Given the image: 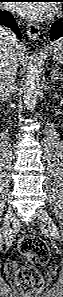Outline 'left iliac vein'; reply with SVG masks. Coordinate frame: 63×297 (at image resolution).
<instances>
[{
  "label": "left iliac vein",
  "instance_id": "1",
  "mask_svg": "<svg viewBox=\"0 0 63 297\" xmlns=\"http://www.w3.org/2000/svg\"><path fill=\"white\" fill-rule=\"evenodd\" d=\"M37 217L39 220L44 222L50 235L54 239H58L59 238L58 229H57L54 221L52 220L51 216L49 215V213L44 208H38Z\"/></svg>",
  "mask_w": 63,
  "mask_h": 297
}]
</instances>
